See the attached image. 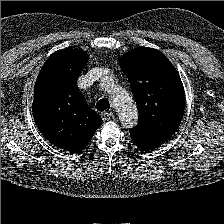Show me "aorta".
I'll return each instance as SVG.
<instances>
[{
	"instance_id": "762f6f07",
	"label": "aorta",
	"mask_w": 224,
	"mask_h": 224,
	"mask_svg": "<svg viewBox=\"0 0 224 224\" xmlns=\"http://www.w3.org/2000/svg\"><path fill=\"white\" fill-rule=\"evenodd\" d=\"M103 84L118 112L121 124L126 128L134 127L137 124L138 112L131 95L116 85L111 77H107Z\"/></svg>"
}]
</instances>
